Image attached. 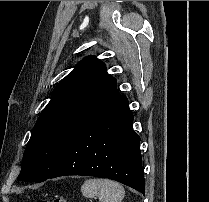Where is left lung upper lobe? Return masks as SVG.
I'll list each match as a JSON object with an SVG mask.
<instances>
[{
	"instance_id": "1",
	"label": "left lung upper lobe",
	"mask_w": 209,
	"mask_h": 202,
	"mask_svg": "<svg viewBox=\"0 0 209 202\" xmlns=\"http://www.w3.org/2000/svg\"><path fill=\"white\" fill-rule=\"evenodd\" d=\"M116 79L95 56L80 61L53 91L27 143L21 181L43 182L58 166L67 146L83 123L118 97Z\"/></svg>"
}]
</instances>
